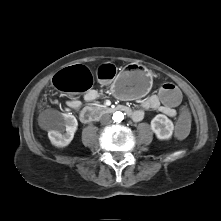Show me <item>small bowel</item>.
<instances>
[{
  "label": "small bowel",
  "instance_id": "1",
  "mask_svg": "<svg viewBox=\"0 0 221 221\" xmlns=\"http://www.w3.org/2000/svg\"><path fill=\"white\" fill-rule=\"evenodd\" d=\"M98 97H99V92L95 89H90L86 91V93L84 94V100L86 102H93ZM67 105L71 109L79 111L81 109L82 103L80 100L76 98H71L68 100ZM141 107L142 109H137L132 112L131 116L134 121L139 122L143 120L145 116V111H150V110H158L168 117H175L177 115L176 109H168L162 104L161 100L158 97V94L150 95L144 98L143 100H141Z\"/></svg>",
  "mask_w": 221,
  "mask_h": 221
}]
</instances>
